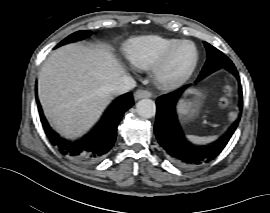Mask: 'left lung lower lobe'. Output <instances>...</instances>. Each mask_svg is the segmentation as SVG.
<instances>
[{
  "mask_svg": "<svg viewBox=\"0 0 270 213\" xmlns=\"http://www.w3.org/2000/svg\"><path fill=\"white\" fill-rule=\"evenodd\" d=\"M225 69L230 71L238 80L239 109L242 110L243 96L238 72L234 65ZM186 88L187 86L182 87L157 99L154 131L167 158L179 167L191 168L208 163L222 152L236 130L240 118L234 122L223 137L208 146H195L189 143L176 115V103Z\"/></svg>",
  "mask_w": 270,
  "mask_h": 213,
  "instance_id": "obj_1",
  "label": "left lung lower lobe"
}]
</instances>
